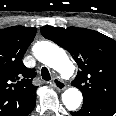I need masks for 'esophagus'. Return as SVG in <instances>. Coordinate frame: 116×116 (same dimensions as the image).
<instances>
[{"label":"esophagus","instance_id":"1","mask_svg":"<svg viewBox=\"0 0 116 116\" xmlns=\"http://www.w3.org/2000/svg\"><path fill=\"white\" fill-rule=\"evenodd\" d=\"M53 86L58 90V91H63L64 89H66V83L64 81H62L59 78H54L53 79Z\"/></svg>","mask_w":116,"mask_h":116}]
</instances>
